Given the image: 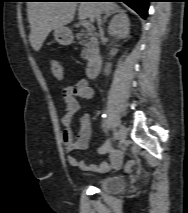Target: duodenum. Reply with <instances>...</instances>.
<instances>
[{
    "label": "duodenum",
    "mask_w": 188,
    "mask_h": 213,
    "mask_svg": "<svg viewBox=\"0 0 188 213\" xmlns=\"http://www.w3.org/2000/svg\"><path fill=\"white\" fill-rule=\"evenodd\" d=\"M102 68V58L99 55H94L89 60L86 67V75L88 78H97Z\"/></svg>",
    "instance_id": "1"
}]
</instances>
